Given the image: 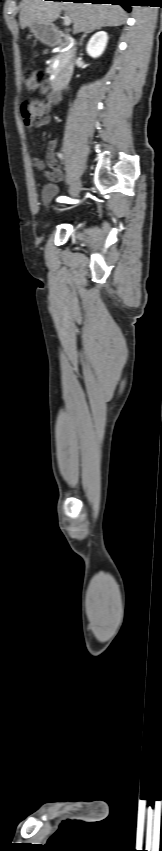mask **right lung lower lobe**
Here are the masks:
<instances>
[{"label":"right lung lower lobe","mask_w":162,"mask_h":851,"mask_svg":"<svg viewBox=\"0 0 162 851\" xmlns=\"http://www.w3.org/2000/svg\"><path fill=\"white\" fill-rule=\"evenodd\" d=\"M57 1H63V0H57ZM72 1L73 2H83V3L89 2V3H93V4L110 3L112 5H121L128 12H130V10H131L130 6L133 5L132 0H72Z\"/></svg>","instance_id":"obj_1"}]
</instances>
